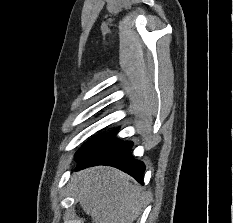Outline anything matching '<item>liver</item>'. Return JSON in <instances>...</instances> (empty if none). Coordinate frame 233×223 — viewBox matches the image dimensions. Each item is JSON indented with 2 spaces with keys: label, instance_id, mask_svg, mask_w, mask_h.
<instances>
[{
  "label": "liver",
  "instance_id": "6515ba94",
  "mask_svg": "<svg viewBox=\"0 0 233 223\" xmlns=\"http://www.w3.org/2000/svg\"><path fill=\"white\" fill-rule=\"evenodd\" d=\"M70 185L91 223H133L146 201L127 173L107 165L73 173Z\"/></svg>",
  "mask_w": 233,
  "mask_h": 223
}]
</instances>
